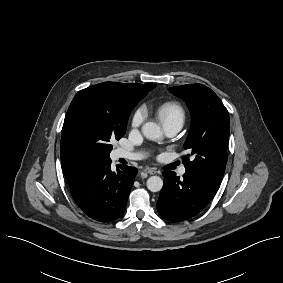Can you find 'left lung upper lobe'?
<instances>
[{
  "instance_id": "1",
  "label": "left lung upper lobe",
  "mask_w": 283,
  "mask_h": 283,
  "mask_svg": "<svg viewBox=\"0 0 283 283\" xmlns=\"http://www.w3.org/2000/svg\"><path fill=\"white\" fill-rule=\"evenodd\" d=\"M187 102L193 126L185 143L191 152L184 157L186 171L212 188L219 189L226 163L229 141V113L219 97L201 84H186L168 89Z\"/></svg>"
}]
</instances>
